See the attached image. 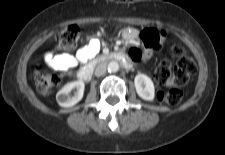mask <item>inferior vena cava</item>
Listing matches in <instances>:
<instances>
[{"label":"inferior vena cava","instance_id":"602c4592","mask_svg":"<svg viewBox=\"0 0 225 155\" xmlns=\"http://www.w3.org/2000/svg\"><path fill=\"white\" fill-rule=\"evenodd\" d=\"M105 73H106V64L104 63L99 64L95 69V75L99 77Z\"/></svg>","mask_w":225,"mask_h":155}]
</instances>
